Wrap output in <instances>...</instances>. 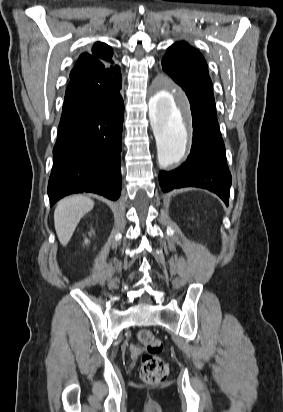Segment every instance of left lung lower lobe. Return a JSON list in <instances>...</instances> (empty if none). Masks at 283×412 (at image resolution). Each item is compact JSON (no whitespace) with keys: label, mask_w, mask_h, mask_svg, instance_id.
I'll list each match as a JSON object with an SVG mask.
<instances>
[{"label":"left lung lower lobe","mask_w":283,"mask_h":412,"mask_svg":"<svg viewBox=\"0 0 283 412\" xmlns=\"http://www.w3.org/2000/svg\"><path fill=\"white\" fill-rule=\"evenodd\" d=\"M176 83L185 91L190 102L192 147L186 162L180 167L168 172L160 171L161 189L169 192L181 187L204 188L216 193L228 205L232 178L226 163L214 96L183 79H177Z\"/></svg>","instance_id":"left-lung-lower-lobe-1"}]
</instances>
